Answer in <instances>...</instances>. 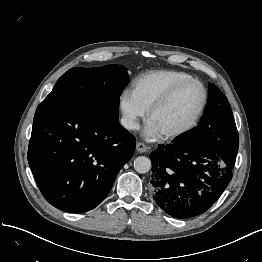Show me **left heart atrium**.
Here are the masks:
<instances>
[{"label":"left heart atrium","mask_w":262,"mask_h":262,"mask_svg":"<svg viewBox=\"0 0 262 262\" xmlns=\"http://www.w3.org/2000/svg\"><path fill=\"white\" fill-rule=\"evenodd\" d=\"M161 135H162V133L156 127V125L152 121H149L148 124L146 125L145 129H144L143 136L147 140L151 141V140L158 139Z\"/></svg>","instance_id":"obj_1"}]
</instances>
